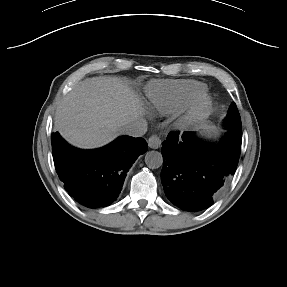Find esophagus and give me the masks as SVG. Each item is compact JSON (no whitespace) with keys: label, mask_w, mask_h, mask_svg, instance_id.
I'll use <instances>...</instances> for the list:
<instances>
[{"label":"esophagus","mask_w":287,"mask_h":287,"mask_svg":"<svg viewBox=\"0 0 287 287\" xmlns=\"http://www.w3.org/2000/svg\"><path fill=\"white\" fill-rule=\"evenodd\" d=\"M148 145L152 149H158L161 146V139L158 135H152L148 139Z\"/></svg>","instance_id":"esophagus-1"}]
</instances>
